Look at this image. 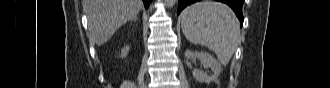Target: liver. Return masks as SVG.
<instances>
[{
    "mask_svg": "<svg viewBox=\"0 0 330 88\" xmlns=\"http://www.w3.org/2000/svg\"><path fill=\"white\" fill-rule=\"evenodd\" d=\"M142 6L141 0H83L90 41L98 46L106 43L122 25L138 15Z\"/></svg>",
    "mask_w": 330,
    "mask_h": 88,
    "instance_id": "liver-1",
    "label": "liver"
}]
</instances>
